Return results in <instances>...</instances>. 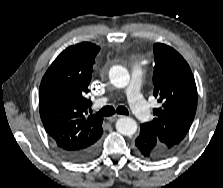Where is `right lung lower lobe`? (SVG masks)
Here are the masks:
<instances>
[{"label": "right lung lower lobe", "mask_w": 223, "mask_h": 188, "mask_svg": "<svg viewBox=\"0 0 223 188\" xmlns=\"http://www.w3.org/2000/svg\"><path fill=\"white\" fill-rule=\"evenodd\" d=\"M99 138L94 140L89 145L84 146L80 149L70 150V149H66V148H62L58 146H56V148L58 152L61 155H63L65 158H67L68 160L77 162V163H83V162H87L91 160L97 155L99 151V142H98Z\"/></svg>", "instance_id": "right-lung-lower-lobe-1"}]
</instances>
